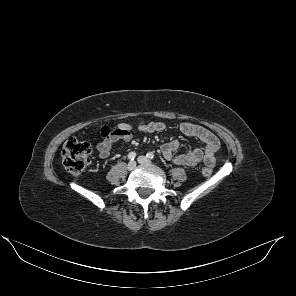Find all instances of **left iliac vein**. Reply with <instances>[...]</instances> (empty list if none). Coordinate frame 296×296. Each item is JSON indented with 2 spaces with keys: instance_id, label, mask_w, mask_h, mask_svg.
I'll return each instance as SVG.
<instances>
[{
  "instance_id": "left-iliac-vein-1",
  "label": "left iliac vein",
  "mask_w": 296,
  "mask_h": 296,
  "mask_svg": "<svg viewBox=\"0 0 296 296\" xmlns=\"http://www.w3.org/2000/svg\"><path fill=\"white\" fill-rule=\"evenodd\" d=\"M137 160L140 164L151 165V161L147 159L145 156H139Z\"/></svg>"
}]
</instances>
